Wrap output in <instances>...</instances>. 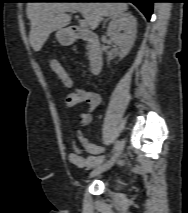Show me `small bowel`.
<instances>
[{
    "label": "small bowel",
    "mask_w": 188,
    "mask_h": 213,
    "mask_svg": "<svg viewBox=\"0 0 188 213\" xmlns=\"http://www.w3.org/2000/svg\"><path fill=\"white\" fill-rule=\"evenodd\" d=\"M64 102L68 109H75L81 104L88 106V111L82 112L79 116L80 124L87 126L92 119L91 112L101 105L102 98L95 91L76 88L65 96ZM77 142L78 144L68 156L71 164L79 168H89L94 166L98 160L104 159L103 154L106 152V148L91 142L81 131L77 133ZM81 151H85L87 155H82Z\"/></svg>",
    "instance_id": "c3829d8e"
}]
</instances>
